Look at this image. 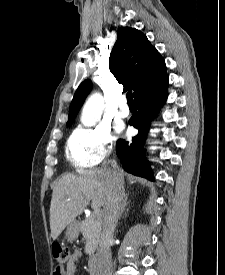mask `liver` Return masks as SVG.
<instances>
[{
    "mask_svg": "<svg viewBox=\"0 0 225 275\" xmlns=\"http://www.w3.org/2000/svg\"><path fill=\"white\" fill-rule=\"evenodd\" d=\"M110 178V169L101 168L83 171L80 175L66 174L55 183L50 205L53 240L83 212L90 201L94 210L105 208ZM131 179L128 176V180Z\"/></svg>",
    "mask_w": 225,
    "mask_h": 275,
    "instance_id": "1",
    "label": "liver"
}]
</instances>
